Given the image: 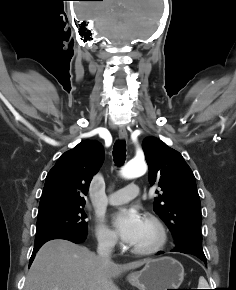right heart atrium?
Instances as JSON below:
<instances>
[{"instance_id":"obj_1","label":"right heart atrium","mask_w":236,"mask_h":290,"mask_svg":"<svg viewBox=\"0 0 236 290\" xmlns=\"http://www.w3.org/2000/svg\"><path fill=\"white\" fill-rule=\"evenodd\" d=\"M95 236L98 244L103 248L113 249L118 243L115 233L102 223L97 224Z\"/></svg>"}]
</instances>
